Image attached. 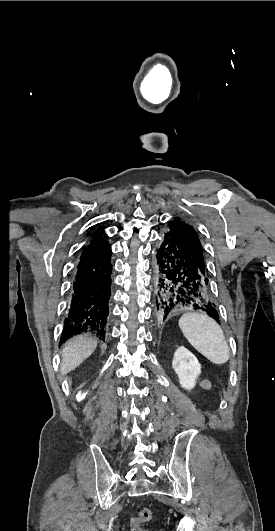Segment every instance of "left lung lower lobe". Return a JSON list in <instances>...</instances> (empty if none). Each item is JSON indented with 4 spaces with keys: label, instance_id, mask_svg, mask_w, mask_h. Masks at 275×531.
Segmentation results:
<instances>
[{
    "label": "left lung lower lobe",
    "instance_id": "0a47b994",
    "mask_svg": "<svg viewBox=\"0 0 275 531\" xmlns=\"http://www.w3.org/2000/svg\"><path fill=\"white\" fill-rule=\"evenodd\" d=\"M153 270L155 313L159 319L165 320L177 310H198L220 323L208 279L171 224L156 244Z\"/></svg>",
    "mask_w": 275,
    "mask_h": 531
}]
</instances>
